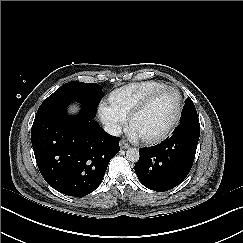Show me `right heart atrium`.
Returning <instances> with one entry per match:
<instances>
[{
    "label": "right heart atrium",
    "instance_id": "1",
    "mask_svg": "<svg viewBox=\"0 0 243 243\" xmlns=\"http://www.w3.org/2000/svg\"><path fill=\"white\" fill-rule=\"evenodd\" d=\"M98 116L110 133L119 132L124 125V119L116 115L109 106L101 105Z\"/></svg>",
    "mask_w": 243,
    "mask_h": 243
}]
</instances>
